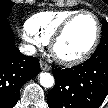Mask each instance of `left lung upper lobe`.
Returning a JSON list of instances; mask_svg holds the SVG:
<instances>
[{
    "instance_id": "1",
    "label": "left lung upper lobe",
    "mask_w": 108,
    "mask_h": 108,
    "mask_svg": "<svg viewBox=\"0 0 108 108\" xmlns=\"http://www.w3.org/2000/svg\"><path fill=\"white\" fill-rule=\"evenodd\" d=\"M96 50L108 51V23L106 20H102V37Z\"/></svg>"
}]
</instances>
